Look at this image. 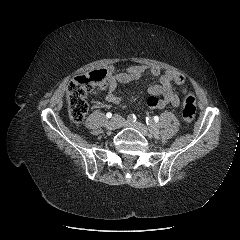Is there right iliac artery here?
I'll return each mask as SVG.
<instances>
[{"instance_id": "obj_1", "label": "right iliac artery", "mask_w": 240, "mask_h": 240, "mask_svg": "<svg viewBox=\"0 0 240 240\" xmlns=\"http://www.w3.org/2000/svg\"><path fill=\"white\" fill-rule=\"evenodd\" d=\"M127 120L130 122H135L136 116L134 114H130V115H128Z\"/></svg>"}]
</instances>
